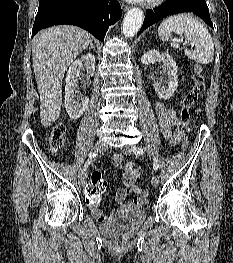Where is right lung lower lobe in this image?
<instances>
[{
  "mask_svg": "<svg viewBox=\"0 0 233 263\" xmlns=\"http://www.w3.org/2000/svg\"><path fill=\"white\" fill-rule=\"evenodd\" d=\"M121 14L116 0H55L38 9L32 37L43 28L71 24L103 41L109 25L118 21Z\"/></svg>",
  "mask_w": 233,
  "mask_h": 263,
  "instance_id": "right-lung-lower-lobe-1",
  "label": "right lung lower lobe"
}]
</instances>
